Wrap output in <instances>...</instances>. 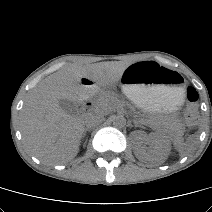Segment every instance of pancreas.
Returning <instances> with one entry per match:
<instances>
[{"label":"pancreas","mask_w":212,"mask_h":212,"mask_svg":"<svg viewBox=\"0 0 212 212\" xmlns=\"http://www.w3.org/2000/svg\"><path fill=\"white\" fill-rule=\"evenodd\" d=\"M100 101L102 104H104L106 106H114V105L118 104L117 98L112 95H109V94L102 95L100 97ZM144 122L150 123V124L153 123V121H151V120H145Z\"/></svg>","instance_id":"pancreas-1"}]
</instances>
